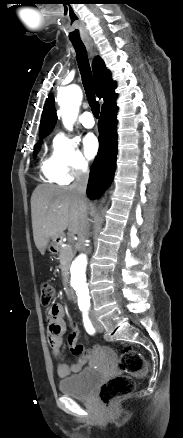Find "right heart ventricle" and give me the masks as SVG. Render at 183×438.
I'll return each mask as SVG.
<instances>
[{"label": "right heart ventricle", "instance_id": "right-heart-ventricle-1", "mask_svg": "<svg viewBox=\"0 0 183 438\" xmlns=\"http://www.w3.org/2000/svg\"><path fill=\"white\" fill-rule=\"evenodd\" d=\"M52 157L51 158H44L41 162V168L43 173L52 181H56L53 173H52Z\"/></svg>", "mask_w": 183, "mask_h": 438}]
</instances>
